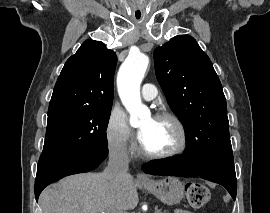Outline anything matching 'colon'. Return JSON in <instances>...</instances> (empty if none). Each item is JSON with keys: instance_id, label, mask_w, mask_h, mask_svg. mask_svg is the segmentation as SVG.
I'll return each mask as SVG.
<instances>
[{"instance_id": "5ec220e1", "label": "colon", "mask_w": 270, "mask_h": 213, "mask_svg": "<svg viewBox=\"0 0 270 213\" xmlns=\"http://www.w3.org/2000/svg\"><path fill=\"white\" fill-rule=\"evenodd\" d=\"M185 195L189 204L194 208L204 206L210 199V192L208 188L199 182L186 183Z\"/></svg>"}]
</instances>
